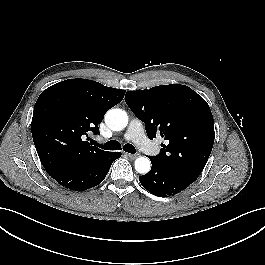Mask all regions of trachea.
<instances>
[{
  "label": "trachea",
  "instance_id": "3493384b",
  "mask_svg": "<svg viewBox=\"0 0 265 265\" xmlns=\"http://www.w3.org/2000/svg\"><path fill=\"white\" fill-rule=\"evenodd\" d=\"M94 145L96 146H100L101 148L105 149V150H121V144L118 141L115 140H111L109 142H106L104 145H99L97 142H94ZM123 150L134 154L136 152L135 147L132 144H125L123 146Z\"/></svg>",
  "mask_w": 265,
  "mask_h": 265
}]
</instances>
